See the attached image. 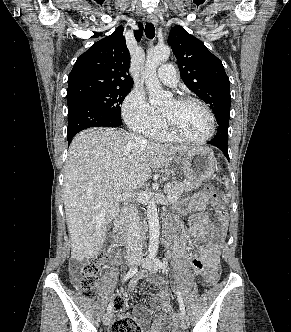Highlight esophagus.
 I'll use <instances>...</instances> for the list:
<instances>
[{"label":"esophagus","mask_w":291,"mask_h":332,"mask_svg":"<svg viewBox=\"0 0 291 332\" xmlns=\"http://www.w3.org/2000/svg\"><path fill=\"white\" fill-rule=\"evenodd\" d=\"M148 20L150 22H152L155 26H158V18L156 16V14H154V13L149 14L148 15Z\"/></svg>","instance_id":"1"}]
</instances>
